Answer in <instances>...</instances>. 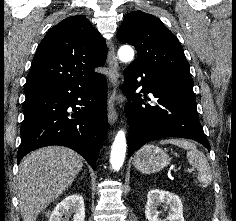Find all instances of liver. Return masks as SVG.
<instances>
[{
  "instance_id": "obj_1",
  "label": "liver",
  "mask_w": 236,
  "mask_h": 221,
  "mask_svg": "<svg viewBox=\"0 0 236 221\" xmlns=\"http://www.w3.org/2000/svg\"><path fill=\"white\" fill-rule=\"evenodd\" d=\"M82 167V157L61 146L40 148L26 156L17 178L23 221H36L38 214L72 184Z\"/></svg>"
}]
</instances>
